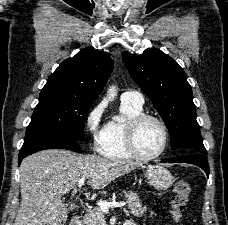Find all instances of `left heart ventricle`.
Wrapping results in <instances>:
<instances>
[{
	"label": "left heart ventricle",
	"mask_w": 228,
	"mask_h": 225,
	"mask_svg": "<svg viewBox=\"0 0 228 225\" xmlns=\"http://www.w3.org/2000/svg\"><path fill=\"white\" fill-rule=\"evenodd\" d=\"M164 143L162 127L154 120H147L139 129L138 146L146 155L159 152Z\"/></svg>",
	"instance_id": "left-heart-ventricle-1"
}]
</instances>
